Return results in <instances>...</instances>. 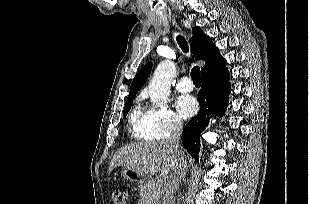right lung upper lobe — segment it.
<instances>
[{"mask_svg":"<svg viewBox=\"0 0 309 204\" xmlns=\"http://www.w3.org/2000/svg\"><path fill=\"white\" fill-rule=\"evenodd\" d=\"M192 32L193 37L189 42L193 56L196 59H202L205 61V65L201 69L202 76L225 66V59L220 55L218 48L213 44L210 37L205 35L199 27H194ZM151 67L152 63L150 62L142 67L136 74L131 84L130 94L127 100L135 97L138 90H140L147 80Z\"/></svg>","mask_w":309,"mask_h":204,"instance_id":"1","label":"right lung upper lobe"}]
</instances>
